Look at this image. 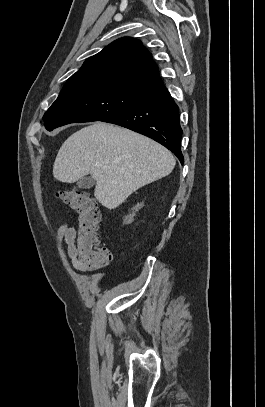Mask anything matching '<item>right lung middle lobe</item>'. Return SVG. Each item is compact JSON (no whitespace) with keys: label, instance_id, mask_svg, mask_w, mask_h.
<instances>
[{"label":"right lung middle lobe","instance_id":"obj_1","mask_svg":"<svg viewBox=\"0 0 265 407\" xmlns=\"http://www.w3.org/2000/svg\"><path fill=\"white\" fill-rule=\"evenodd\" d=\"M156 88L105 75L70 77L43 120L47 130L75 122L102 121L149 96Z\"/></svg>","mask_w":265,"mask_h":407}]
</instances>
